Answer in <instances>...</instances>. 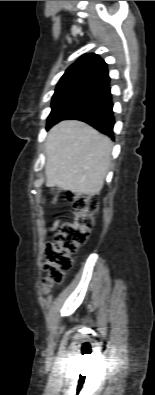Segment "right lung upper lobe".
<instances>
[{
	"label": "right lung upper lobe",
	"instance_id": "right-lung-upper-lobe-1",
	"mask_svg": "<svg viewBox=\"0 0 155 395\" xmlns=\"http://www.w3.org/2000/svg\"><path fill=\"white\" fill-rule=\"evenodd\" d=\"M107 64L99 55L85 54L72 64L61 77L57 86L80 83L105 89L109 86Z\"/></svg>",
	"mask_w": 155,
	"mask_h": 395
}]
</instances>
